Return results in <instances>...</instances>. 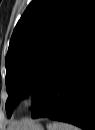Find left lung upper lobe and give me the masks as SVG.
<instances>
[{
	"label": "left lung upper lobe",
	"mask_w": 95,
	"mask_h": 130,
	"mask_svg": "<svg viewBox=\"0 0 95 130\" xmlns=\"http://www.w3.org/2000/svg\"><path fill=\"white\" fill-rule=\"evenodd\" d=\"M92 14V0H33L29 4L6 55L8 117L29 92L35 96L33 107L38 103L53 68Z\"/></svg>",
	"instance_id": "5c2ea615"
}]
</instances>
